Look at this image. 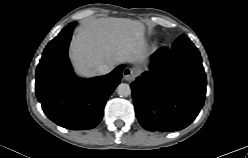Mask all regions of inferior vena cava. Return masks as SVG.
Masks as SVG:
<instances>
[{
  "mask_svg": "<svg viewBox=\"0 0 248 158\" xmlns=\"http://www.w3.org/2000/svg\"><path fill=\"white\" fill-rule=\"evenodd\" d=\"M113 70V67L107 64H103L98 67V73L101 75H105L110 73Z\"/></svg>",
  "mask_w": 248,
  "mask_h": 158,
  "instance_id": "obj_1",
  "label": "inferior vena cava"
}]
</instances>
